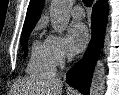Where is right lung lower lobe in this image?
Wrapping results in <instances>:
<instances>
[{"instance_id":"right-lung-lower-lobe-1","label":"right lung lower lobe","mask_w":119,"mask_h":95,"mask_svg":"<svg viewBox=\"0 0 119 95\" xmlns=\"http://www.w3.org/2000/svg\"><path fill=\"white\" fill-rule=\"evenodd\" d=\"M107 13V0L99 1L94 5L90 47L85 53L83 60L75 64L66 75L67 82L84 95H89L93 69L105 36Z\"/></svg>"}]
</instances>
